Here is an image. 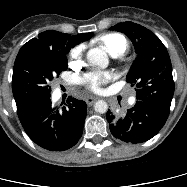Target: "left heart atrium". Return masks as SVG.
I'll return each mask as SVG.
<instances>
[{"label": "left heart atrium", "instance_id": "left-heart-atrium-1", "mask_svg": "<svg viewBox=\"0 0 187 187\" xmlns=\"http://www.w3.org/2000/svg\"><path fill=\"white\" fill-rule=\"evenodd\" d=\"M112 77V74L108 72L92 73L84 79V85L93 92H99L102 86L108 83Z\"/></svg>", "mask_w": 187, "mask_h": 187}]
</instances>
